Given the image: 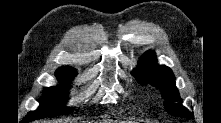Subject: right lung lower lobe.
I'll return each instance as SVG.
<instances>
[{"mask_svg":"<svg viewBox=\"0 0 221 123\" xmlns=\"http://www.w3.org/2000/svg\"><path fill=\"white\" fill-rule=\"evenodd\" d=\"M27 121H32V120H30V119H27Z\"/></svg>","mask_w":221,"mask_h":123,"instance_id":"98d812e1","label":"right lung lower lobe"}]
</instances>
